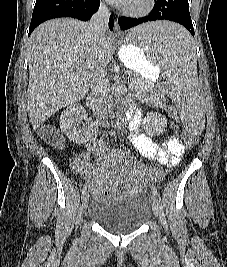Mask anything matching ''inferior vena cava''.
<instances>
[{"mask_svg": "<svg viewBox=\"0 0 227 267\" xmlns=\"http://www.w3.org/2000/svg\"><path fill=\"white\" fill-rule=\"evenodd\" d=\"M108 22V7L104 3H101L99 10L92 16L87 27L88 33L90 34L94 42L96 44H99L100 46H104L105 44V36L108 27ZM101 53L103 54V49H101ZM90 86L95 96L98 98L100 106L102 107L103 119H107L108 113L106 105L108 100L109 82L106 77V63L104 56L101 58V60H99V63L96 65Z\"/></svg>", "mask_w": 227, "mask_h": 267, "instance_id": "inferior-vena-cava-1", "label": "inferior vena cava"}]
</instances>
